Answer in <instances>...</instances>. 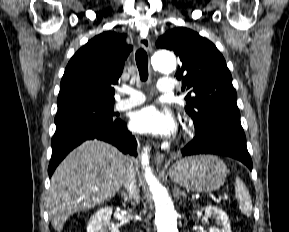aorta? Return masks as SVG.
<instances>
[{
    "instance_id": "obj_1",
    "label": "aorta",
    "mask_w": 289,
    "mask_h": 232,
    "mask_svg": "<svg viewBox=\"0 0 289 232\" xmlns=\"http://www.w3.org/2000/svg\"><path fill=\"white\" fill-rule=\"evenodd\" d=\"M154 70L162 73H171L176 69V58L167 51H157L152 58ZM145 169V179L149 185L155 204V224L158 232H178L177 215L167 190L153 176L149 167L147 148L141 157Z\"/></svg>"
}]
</instances>
